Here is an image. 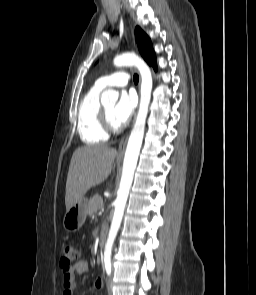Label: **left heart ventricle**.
<instances>
[{
  "label": "left heart ventricle",
  "instance_id": "obj_1",
  "mask_svg": "<svg viewBox=\"0 0 256 295\" xmlns=\"http://www.w3.org/2000/svg\"><path fill=\"white\" fill-rule=\"evenodd\" d=\"M115 107H116L115 104L105 105V109L110 117V120L112 121L113 124L117 125L113 118Z\"/></svg>",
  "mask_w": 256,
  "mask_h": 295
}]
</instances>
